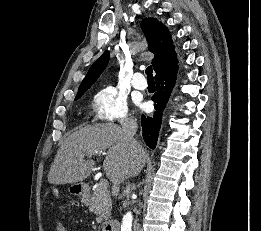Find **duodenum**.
<instances>
[{
  "label": "duodenum",
  "mask_w": 261,
  "mask_h": 231,
  "mask_svg": "<svg viewBox=\"0 0 261 231\" xmlns=\"http://www.w3.org/2000/svg\"><path fill=\"white\" fill-rule=\"evenodd\" d=\"M104 231H120V223L117 220H110L106 222L103 227Z\"/></svg>",
  "instance_id": "obj_1"
}]
</instances>
